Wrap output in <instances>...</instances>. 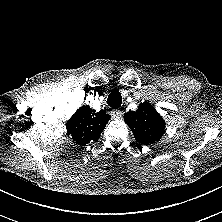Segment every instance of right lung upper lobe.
Wrapping results in <instances>:
<instances>
[{
  "mask_svg": "<svg viewBox=\"0 0 222 222\" xmlns=\"http://www.w3.org/2000/svg\"><path fill=\"white\" fill-rule=\"evenodd\" d=\"M110 115L103 110L96 112L88 105L80 107L66 124L68 136L78 145L97 141L106 127Z\"/></svg>",
  "mask_w": 222,
  "mask_h": 222,
  "instance_id": "cb5924a9",
  "label": "right lung upper lobe"
}]
</instances>
